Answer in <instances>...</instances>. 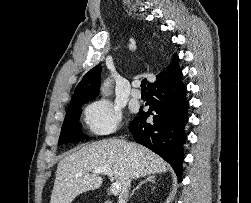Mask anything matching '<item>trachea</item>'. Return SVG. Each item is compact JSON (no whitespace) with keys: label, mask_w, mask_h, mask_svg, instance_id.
<instances>
[{"label":"trachea","mask_w":251,"mask_h":203,"mask_svg":"<svg viewBox=\"0 0 251 203\" xmlns=\"http://www.w3.org/2000/svg\"><path fill=\"white\" fill-rule=\"evenodd\" d=\"M146 84H147V80L146 79H143L141 81V90L142 91H146Z\"/></svg>","instance_id":"1"}]
</instances>
